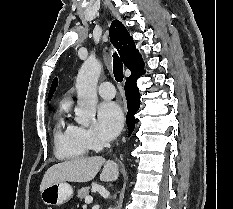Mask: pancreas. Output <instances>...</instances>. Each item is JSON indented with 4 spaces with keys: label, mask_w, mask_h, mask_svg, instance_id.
Wrapping results in <instances>:
<instances>
[{
    "label": "pancreas",
    "mask_w": 233,
    "mask_h": 209,
    "mask_svg": "<svg viewBox=\"0 0 233 209\" xmlns=\"http://www.w3.org/2000/svg\"><path fill=\"white\" fill-rule=\"evenodd\" d=\"M89 196V187H83L77 192V197L82 200L83 198Z\"/></svg>",
    "instance_id": "cf45deb5"
}]
</instances>
